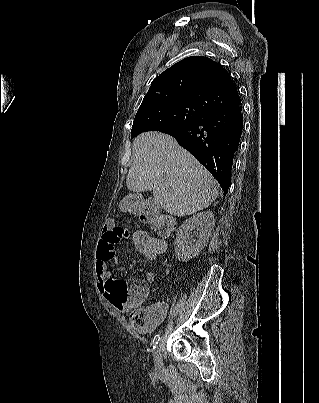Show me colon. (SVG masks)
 I'll list each match as a JSON object with an SVG mask.
<instances>
[{
    "label": "colon",
    "instance_id": "colon-1",
    "mask_svg": "<svg viewBox=\"0 0 319 403\" xmlns=\"http://www.w3.org/2000/svg\"><path fill=\"white\" fill-rule=\"evenodd\" d=\"M122 204L127 217H141L157 233L152 234L151 229L135 228V234L128 239L131 249H137V257L163 258L164 252L167 250V240L159 239V235L168 236L172 231L173 223L169 218L161 215L159 203L145 201L142 192H128L127 197L122 199Z\"/></svg>",
    "mask_w": 319,
    "mask_h": 403
}]
</instances>
